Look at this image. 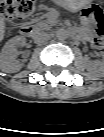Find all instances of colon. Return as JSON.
I'll return each instance as SVG.
<instances>
[{"label": "colon", "mask_w": 104, "mask_h": 137, "mask_svg": "<svg viewBox=\"0 0 104 137\" xmlns=\"http://www.w3.org/2000/svg\"><path fill=\"white\" fill-rule=\"evenodd\" d=\"M0 10L10 21L15 23H27L35 11L34 0H1ZM85 21L92 22L94 32L92 44L94 47H102L104 42V15L97 6L85 8L81 13Z\"/></svg>", "instance_id": "colon-1"}]
</instances>
